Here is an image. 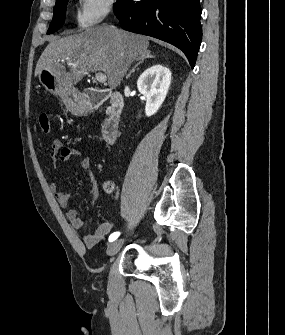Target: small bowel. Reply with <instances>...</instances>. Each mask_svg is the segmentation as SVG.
<instances>
[{
    "mask_svg": "<svg viewBox=\"0 0 285 335\" xmlns=\"http://www.w3.org/2000/svg\"><path fill=\"white\" fill-rule=\"evenodd\" d=\"M50 157L53 163L68 162L72 157H82L80 167L89 173L92 180V187L88 195V201L93 204L98 196V186L95 175L92 171V164L89 157L85 153L74 147L64 146L61 140L55 139L51 143ZM51 190L55 198L62 208L65 209V214L71 226L76 230H82L85 227V221L81 218L77 211L69 207V194L62 191L58 184H52ZM114 223L105 222L100 224L91 234L84 236V243L88 247H93L103 240L113 229Z\"/></svg>",
    "mask_w": 285,
    "mask_h": 335,
    "instance_id": "small-bowel-1",
    "label": "small bowel"
}]
</instances>
